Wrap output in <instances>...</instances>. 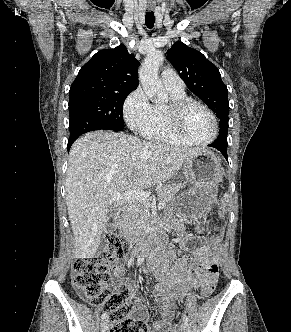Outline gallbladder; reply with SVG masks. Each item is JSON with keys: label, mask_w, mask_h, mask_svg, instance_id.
I'll return each mask as SVG.
<instances>
[{"label": "gallbladder", "mask_w": 291, "mask_h": 332, "mask_svg": "<svg viewBox=\"0 0 291 332\" xmlns=\"http://www.w3.org/2000/svg\"><path fill=\"white\" fill-rule=\"evenodd\" d=\"M116 229L115 225V212L111 211L110 214H108V223L106 225V228L104 230L105 233H113Z\"/></svg>", "instance_id": "bac80fb5"}]
</instances>
